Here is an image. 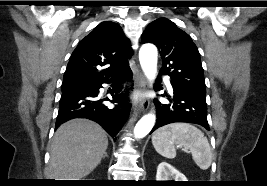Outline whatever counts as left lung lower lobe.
<instances>
[{
	"label": "left lung lower lobe",
	"instance_id": "left-lung-lower-lobe-1",
	"mask_svg": "<svg viewBox=\"0 0 267 186\" xmlns=\"http://www.w3.org/2000/svg\"><path fill=\"white\" fill-rule=\"evenodd\" d=\"M159 79L161 78L159 77ZM172 87L173 98H168L170 104H161L158 100H155L157 120L151 133L159 127L175 122L199 124L210 130L207 121L205 96L186 90L178 85L172 84Z\"/></svg>",
	"mask_w": 267,
	"mask_h": 186
}]
</instances>
